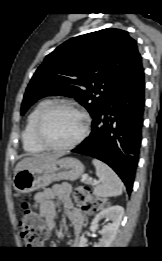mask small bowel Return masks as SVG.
Here are the masks:
<instances>
[{
	"label": "small bowel",
	"mask_w": 162,
	"mask_h": 261,
	"mask_svg": "<svg viewBox=\"0 0 162 261\" xmlns=\"http://www.w3.org/2000/svg\"><path fill=\"white\" fill-rule=\"evenodd\" d=\"M71 186L68 183L55 184L38 192L34 197V206L45 218L47 226L53 229L57 219V202L62 203L68 211L72 228L79 233L85 221L82 213L77 210L70 198Z\"/></svg>",
	"instance_id": "small-bowel-1"
}]
</instances>
